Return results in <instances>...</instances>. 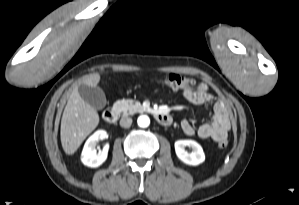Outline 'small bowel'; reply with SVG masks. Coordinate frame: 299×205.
<instances>
[{
	"label": "small bowel",
	"mask_w": 299,
	"mask_h": 205,
	"mask_svg": "<svg viewBox=\"0 0 299 205\" xmlns=\"http://www.w3.org/2000/svg\"><path fill=\"white\" fill-rule=\"evenodd\" d=\"M182 94L186 100L193 104H205L214 99V95L205 83L185 89ZM181 129L186 135H197L201 139H212L216 142L226 139L230 129V121L225 103L221 100L215 102L211 122L195 128L190 121L184 119L181 122Z\"/></svg>",
	"instance_id": "obj_1"
}]
</instances>
